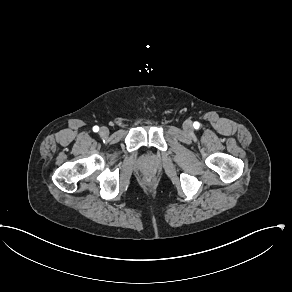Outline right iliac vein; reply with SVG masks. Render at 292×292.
I'll list each match as a JSON object with an SVG mask.
<instances>
[{
	"instance_id": "1",
	"label": "right iliac vein",
	"mask_w": 292,
	"mask_h": 292,
	"mask_svg": "<svg viewBox=\"0 0 292 292\" xmlns=\"http://www.w3.org/2000/svg\"><path fill=\"white\" fill-rule=\"evenodd\" d=\"M99 134L102 137H106L109 134V129L107 127L103 126L100 128Z\"/></svg>"
}]
</instances>
